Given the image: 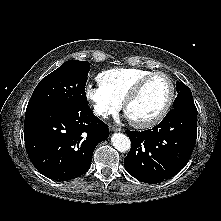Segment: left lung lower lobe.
Returning <instances> with one entry per match:
<instances>
[{"label":"left lung lower lobe","instance_id":"obj_1","mask_svg":"<svg viewBox=\"0 0 221 221\" xmlns=\"http://www.w3.org/2000/svg\"><path fill=\"white\" fill-rule=\"evenodd\" d=\"M131 150L126 171L145 183H157L178 172L189 160L197 136V109L176 107L149 130L125 131Z\"/></svg>","mask_w":221,"mask_h":221}]
</instances>
